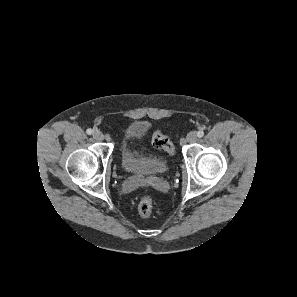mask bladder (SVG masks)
<instances>
[{
    "label": "bladder",
    "instance_id": "bladder-1",
    "mask_svg": "<svg viewBox=\"0 0 297 297\" xmlns=\"http://www.w3.org/2000/svg\"><path fill=\"white\" fill-rule=\"evenodd\" d=\"M150 125L145 121H134L128 124L121 138L122 166L134 174H157L163 173L168 168L167 161L157 155H145L141 158L135 156L132 150L134 141L146 136Z\"/></svg>",
    "mask_w": 297,
    "mask_h": 297
}]
</instances>
